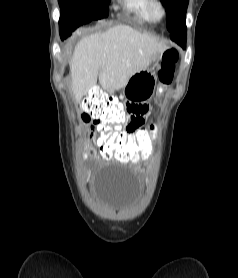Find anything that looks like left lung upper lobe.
Masks as SVG:
<instances>
[{
  "mask_svg": "<svg viewBox=\"0 0 238 278\" xmlns=\"http://www.w3.org/2000/svg\"><path fill=\"white\" fill-rule=\"evenodd\" d=\"M167 11V29L173 31L185 17L188 0H162Z\"/></svg>",
  "mask_w": 238,
  "mask_h": 278,
  "instance_id": "1",
  "label": "left lung upper lobe"
}]
</instances>
